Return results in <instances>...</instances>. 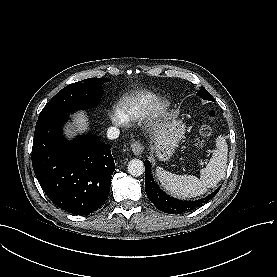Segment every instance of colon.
Returning a JSON list of instances; mask_svg holds the SVG:
<instances>
[{
  "label": "colon",
  "instance_id": "5ec220e1",
  "mask_svg": "<svg viewBox=\"0 0 277 277\" xmlns=\"http://www.w3.org/2000/svg\"><path fill=\"white\" fill-rule=\"evenodd\" d=\"M214 112H211L210 115L214 117ZM211 118V117H210ZM213 133V126L210 123H206L200 128V135L194 140V145L196 147H202L205 143V140L210 137Z\"/></svg>",
  "mask_w": 277,
  "mask_h": 277
}]
</instances>
